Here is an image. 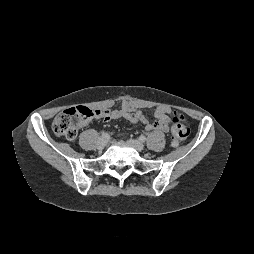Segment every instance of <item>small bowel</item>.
Returning <instances> with one entry per match:
<instances>
[{
    "label": "small bowel",
    "mask_w": 254,
    "mask_h": 254,
    "mask_svg": "<svg viewBox=\"0 0 254 254\" xmlns=\"http://www.w3.org/2000/svg\"><path fill=\"white\" fill-rule=\"evenodd\" d=\"M99 113V118L106 122L115 119H125L132 124H143L147 131H167L170 109L165 105H158L155 107L153 121H149L146 118L138 105L128 101H123L121 106L117 109H103L99 110Z\"/></svg>",
    "instance_id": "c3829d8e"
}]
</instances>
